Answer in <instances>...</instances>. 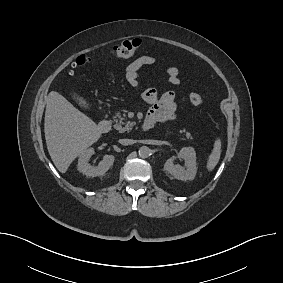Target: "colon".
Returning <instances> with one entry per match:
<instances>
[{
	"instance_id": "colon-1",
	"label": "colon",
	"mask_w": 283,
	"mask_h": 283,
	"mask_svg": "<svg viewBox=\"0 0 283 283\" xmlns=\"http://www.w3.org/2000/svg\"><path fill=\"white\" fill-rule=\"evenodd\" d=\"M141 47V41L138 39L125 40L113 47L110 55L114 58H128L133 56ZM91 62V58L85 54L80 55L74 62V67H83ZM189 100L194 105H202L204 99L196 92L189 94Z\"/></svg>"
}]
</instances>
